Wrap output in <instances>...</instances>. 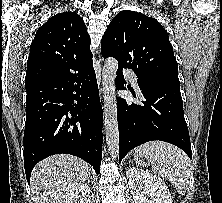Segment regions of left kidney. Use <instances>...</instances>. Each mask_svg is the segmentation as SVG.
<instances>
[{"label":"left kidney","mask_w":222,"mask_h":203,"mask_svg":"<svg viewBox=\"0 0 222 203\" xmlns=\"http://www.w3.org/2000/svg\"><path fill=\"white\" fill-rule=\"evenodd\" d=\"M126 176L135 203H172L167 185L156 175L131 167Z\"/></svg>","instance_id":"5707ae66"}]
</instances>
